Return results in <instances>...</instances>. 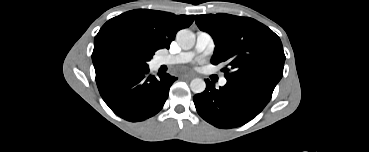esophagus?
Segmentation results:
<instances>
[{
	"instance_id": "34e87169",
	"label": "esophagus",
	"mask_w": 369,
	"mask_h": 152,
	"mask_svg": "<svg viewBox=\"0 0 369 152\" xmlns=\"http://www.w3.org/2000/svg\"><path fill=\"white\" fill-rule=\"evenodd\" d=\"M193 77H194L193 75L186 74V75H182L181 76V79H183V80H191Z\"/></svg>"
}]
</instances>
